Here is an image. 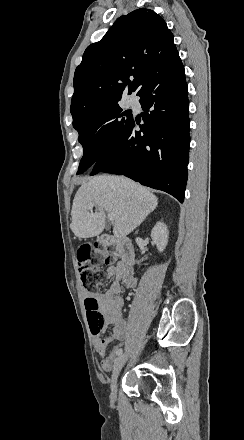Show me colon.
I'll list each match as a JSON object with an SVG mask.
<instances>
[{"instance_id": "5ec220e1", "label": "colon", "mask_w": 244, "mask_h": 440, "mask_svg": "<svg viewBox=\"0 0 244 440\" xmlns=\"http://www.w3.org/2000/svg\"><path fill=\"white\" fill-rule=\"evenodd\" d=\"M115 252L112 248H104L103 251L99 245L85 244L78 248L75 255V262H79V270L82 274V280L87 294H94L96 288L105 282L104 272L102 270L107 257H112ZM91 264H90V263ZM91 265L93 270L91 269ZM103 310H98L96 299L89 296L85 299V318L103 319Z\"/></svg>"}]
</instances>
